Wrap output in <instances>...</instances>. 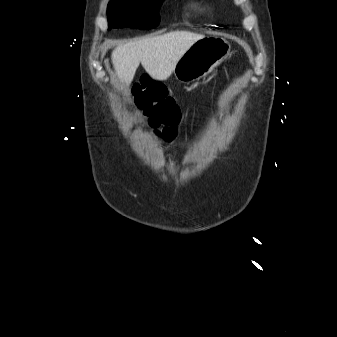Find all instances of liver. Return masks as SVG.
<instances>
[{"mask_svg":"<svg viewBox=\"0 0 337 337\" xmlns=\"http://www.w3.org/2000/svg\"><path fill=\"white\" fill-rule=\"evenodd\" d=\"M203 35L173 31L155 37L118 45L112 51V63L119 79L127 86L139 64L155 80H167L184 53Z\"/></svg>","mask_w":337,"mask_h":337,"instance_id":"liver-1","label":"liver"}]
</instances>
